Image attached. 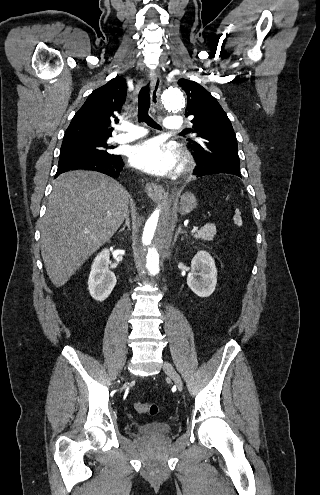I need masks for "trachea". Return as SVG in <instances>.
<instances>
[{"instance_id":"3493384b","label":"trachea","mask_w":320,"mask_h":495,"mask_svg":"<svg viewBox=\"0 0 320 495\" xmlns=\"http://www.w3.org/2000/svg\"><path fill=\"white\" fill-rule=\"evenodd\" d=\"M150 107L149 83L145 85L138 96V120L147 123L149 126L157 129L161 127L149 116Z\"/></svg>"}]
</instances>
